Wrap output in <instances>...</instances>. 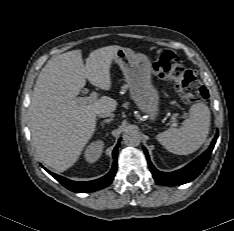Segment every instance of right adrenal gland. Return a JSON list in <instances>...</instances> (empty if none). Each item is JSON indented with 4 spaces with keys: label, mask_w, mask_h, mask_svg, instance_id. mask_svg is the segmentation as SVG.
Here are the masks:
<instances>
[{
    "label": "right adrenal gland",
    "mask_w": 234,
    "mask_h": 231,
    "mask_svg": "<svg viewBox=\"0 0 234 231\" xmlns=\"http://www.w3.org/2000/svg\"><path fill=\"white\" fill-rule=\"evenodd\" d=\"M112 120H113V119H111V118H110V119H105V120H103V121L101 122V126L104 127V124H105V123H109V122L112 121Z\"/></svg>",
    "instance_id": "1"
}]
</instances>
